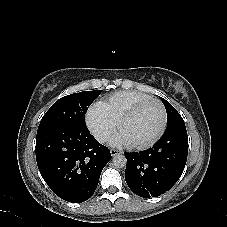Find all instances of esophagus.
Returning <instances> with one entry per match:
<instances>
[{"label":"esophagus","instance_id":"34e87169","mask_svg":"<svg viewBox=\"0 0 227 227\" xmlns=\"http://www.w3.org/2000/svg\"><path fill=\"white\" fill-rule=\"evenodd\" d=\"M110 153H111V156H112V157H115V156H117V155L122 154L121 151L116 150V149H111V150H110Z\"/></svg>","mask_w":227,"mask_h":227}]
</instances>
